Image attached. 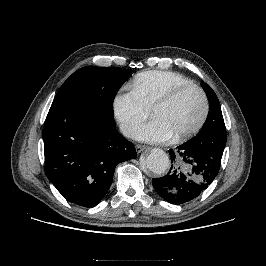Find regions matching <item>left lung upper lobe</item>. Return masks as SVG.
I'll return each instance as SVG.
<instances>
[{
  "label": "left lung upper lobe",
  "mask_w": 266,
  "mask_h": 266,
  "mask_svg": "<svg viewBox=\"0 0 266 266\" xmlns=\"http://www.w3.org/2000/svg\"><path fill=\"white\" fill-rule=\"evenodd\" d=\"M209 99V113L200 132L184 143L188 148L221 159L226 145V128L219 100L212 88L201 83Z\"/></svg>",
  "instance_id": "obj_1"
}]
</instances>
